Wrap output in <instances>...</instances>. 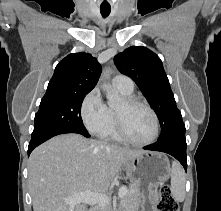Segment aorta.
<instances>
[{
	"label": "aorta",
	"instance_id": "obj_1",
	"mask_svg": "<svg viewBox=\"0 0 221 211\" xmlns=\"http://www.w3.org/2000/svg\"><path fill=\"white\" fill-rule=\"evenodd\" d=\"M109 70H106L103 74L105 78L109 76ZM103 90L106 92V98L108 100V105L111 108L117 107L121 103V98L118 92L108 83L102 85Z\"/></svg>",
	"mask_w": 221,
	"mask_h": 211
}]
</instances>
